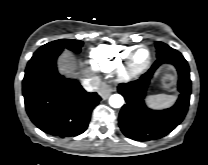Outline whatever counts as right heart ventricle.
<instances>
[{
  "label": "right heart ventricle",
  "mask_w": 208,
  "mask_h": 165,
  "mask_svg": "<svg viewBox=\"0 0 208 165\" xmlns=\"http://www.w3.org/2000/svg\"><path fill=\"white\" fill-rule=\"evenodd\" d=\"M134 49L121 45H99L89 54L90 64L97 71L110 73L127 60Z\"/></svg>",
  "instance_id": "e07e8e85"
}]
</instances>
